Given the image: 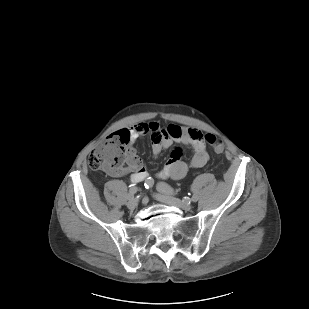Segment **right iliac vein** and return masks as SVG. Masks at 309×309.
Here are the masks:
<instances>
[{
  "label": "right iliac vein",
  "instance_id": "1",
  "mask_svg": "<svg viewBox=\"0 0 309 309\" xmlns=\"http://www.w3.org/2000/svg\"><path fill=\"white\" fill-rule=\"evenodd\" d=\"M137 205H138V203H135L134 201H132V200H130L129 199V201H128V203H127V207L129 208V209H135L136 207H137Z\"/></svg>",
  "mask_w": 309,
  "mask_h": 309
}]
</instances>
